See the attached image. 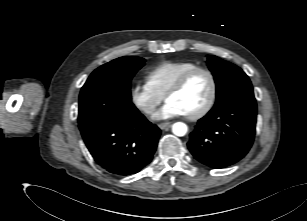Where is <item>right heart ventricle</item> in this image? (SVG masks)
Segmentation results:
<instances>
[{
    "instance_id": "obj_1",
    "label": "right heart ventricle",
    "mask_w": 307,
    "mask_h": 221,
    "mask_svg": "<svg viewBox=\"0 0 307 221\" xmlns=\"http://www.w3.org/2000/svg\"><path fill=\"white\" fill-rule=\"evenodd\" d=\"M199 67L191 61H164L153 67L146 75V84L164 97L175 81L187 71Z\"/></svg>"
}]
</instances>
